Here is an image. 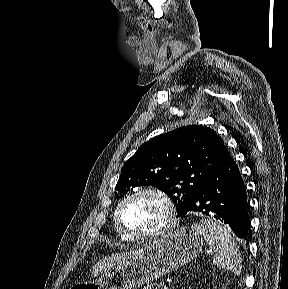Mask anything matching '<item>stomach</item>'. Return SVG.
<instances>
[{"mask_svg": "<svg viewBox=\"0 0 288 289\" xmlns=\"http://www.w3.org/2000/svg\"><path fill=\"white\" fill-rule=\"evenodd\" d=\"M203 238L193 226H183L143 248L135 258L93 281L71 289H136L187 264L202 250Z\"/></svg>", "mask_w": 288, "mask_h": 289, "instance_id": "1", "label": "stomach"}]
</instances>
